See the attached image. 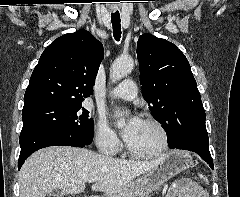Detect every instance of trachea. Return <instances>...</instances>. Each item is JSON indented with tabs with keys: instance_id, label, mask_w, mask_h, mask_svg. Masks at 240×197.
<instances>
[{
	"instance_id": "trachea-1",
	"label": "trachea",
	"mask_w": 240,
	"mask_h": 197,
	"mask_svg": "<svg viewBox=\"0 0 240 197\" xmlns=\"http://www.w3.org/2000/svg\"><path fill=\"white\" fill-rule=\"evenodd\" d=\"M111 22L113 26V36L116 41H119L121 38V20L119 13H112L111 14Z\"/></svg>"
}]
</instances>
